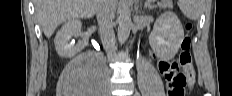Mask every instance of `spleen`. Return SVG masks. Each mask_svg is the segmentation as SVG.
<instances>
[{
  "label": "spleen",
  "mask_w": 232,
  "mask_h": 96,
  "mask_svg": "<svg viewBox=\"0 0 232 96\" xmlns=\"http://www.w3.org/2000/svg\"><path fill=\"white\" fill-rule=\"evenodd\" d=\"M181 12L191 20H198L202 14L203 4L201 0H178Z\"/></svg>",
  "instance_id": "3e777b00"
}]
</instances>
